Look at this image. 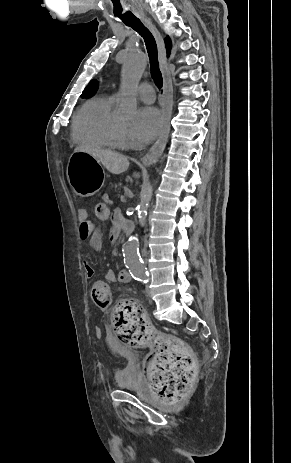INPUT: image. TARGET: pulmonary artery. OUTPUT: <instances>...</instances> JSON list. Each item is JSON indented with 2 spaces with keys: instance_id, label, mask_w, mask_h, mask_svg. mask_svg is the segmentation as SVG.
Instances as JSON below:
<instances>
[{
  "instance_id": "e3ab8cb5",
  "label": "pulmonary artery",
  "mask_w": 291,
  "mask_h": 463,
  "mask_svg": "<svg viewBox=\"0 0 291 463\" xmlns=\"http://www.w3.org/2000/svg\"><path fill=\"white\" fill-rule=\"evenodd\" d=\"M136 92L140 99L147 104H151L155 101V91L150 84H140ZM114 97H116V95Z\"/></svg>"
}]
</instances>
